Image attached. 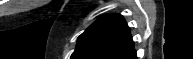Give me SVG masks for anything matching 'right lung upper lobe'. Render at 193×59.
Wrapping results in <instances>:
<instances>
[{
    "mask_svg": "<svg viewBox=\"0 0 193 59\" xmlns=\"http://www.w3.org/2000/svg\"><path fill=\"white\" fill-rule=\"evenodd\" d=\"M135 53L123 17L111 14L99 18L79 36L71 59H129Z\"/></svg>",
    "mask_w": 193,
    "mask_h": 59,
    "instance_id": "right-lung-upper-lobe-1",
    "label": "right lung upper lobe"
}]
</instances>
